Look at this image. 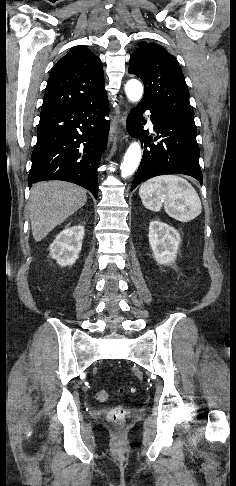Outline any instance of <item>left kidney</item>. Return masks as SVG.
<instances>
[{
	"label": "left kidney",
	"mask_w": 236,
	"mask_h": 486,
	"mask_svg": "<svg viewBox=\"0 0 236 486\" xmlns=\"http://www.w3.org/2000/svg\"><path fill=\"white\" fill-rule=\"evenodd\" d=\"M148 238L158 264L168 265L175 261L181 243L180 234L176 229L161 221L153 220L149 224Z\"/></svg>",
	"instance_id": "obj_1"
}]
</instances>
